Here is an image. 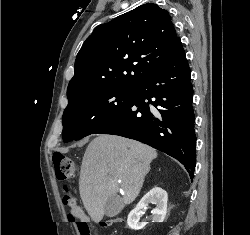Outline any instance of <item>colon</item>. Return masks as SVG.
<instances>
[{"label": "colon", "mask_w": 250, "mask_h": 235, "mask_svg": "<svg viewBox=\"0 0 250 235\" xmlns=\"http://www.w3.org/2000/svg\"><path fill=\"white\" fill-rule=\"evenodd\" d=\"M53 165L55 169L56 178L61 182L73 179L78 171L77 163L73 159L64 156L60 153H55L53 155ZM64 201L65 203L72 204V198L68 193L65 194ZM113 222L119 221L111 220L107 223L111 224ZM76 223L81 235H90V226L86 221L81 220Z\"/></svg>", "instance_id": "5ec220e1"}]
</instances>
